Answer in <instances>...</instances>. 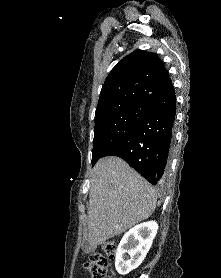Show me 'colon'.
<instances>
[{
  "instance_id": "5ec220e1",
  "label": "colon",
  "mask_w": 221,
  "mask_h": 278,
  "mask_svg": "<svg viewBox=\"0 0 221 278\" xmlns=\"http://www.w3.org/2000/svg\"><path fill=\"white\" fill-rule=\"evenodd\" d=\"M117 244L114 241H106L102 245L101 252L92 254L89 262L86 264V269L91 278H106L107 277V257L113 259L116 255Z\"/></svg>"
}]
</instances>
